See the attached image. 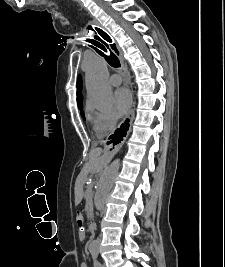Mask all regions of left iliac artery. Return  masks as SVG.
Listing matches in <instances>:
<instances>
[{
    "instance_id": "obj_1",
    "label": "left iliac artery",
    "mask_w": 225,
    "mask_h": 267,
    "mask_svg": "<svg viewBox=\"0 0 225 267\" xmlns=\"http://www.w3.org/2000/svg\"><path fill=\"white\" fill-rule=\"evenodd\" d=\"M92 258H93V264L94 267H102L101 263L98 261V252L97 251H92Z\"/></svg>"
}]
</instances>
